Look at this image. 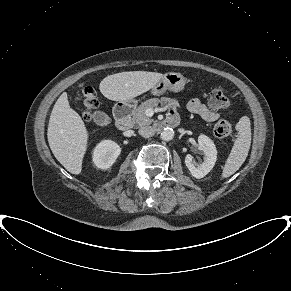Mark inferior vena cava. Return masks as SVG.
Wrapping results in <instances>:
<instances>
[{
	"instance_id": "inferior-vena-cava-1",
	"label": "inferior vena cava",
	"mask_w": 291,
	"mask_h": 291,
	"mask_svg": "<svg viewBox=\"0 0 291 291\" xmlns=\"http://www.w3.org/2000/svg\"><path fill=\"white\" fill-rule=\"evenodd\" d=\"M139 134L143 137H151L155 134V130L152 126H143L139 129Z\"/></svg>"
}]
</instances>
